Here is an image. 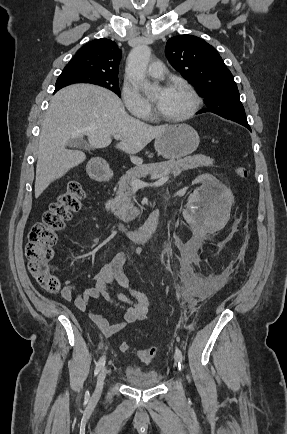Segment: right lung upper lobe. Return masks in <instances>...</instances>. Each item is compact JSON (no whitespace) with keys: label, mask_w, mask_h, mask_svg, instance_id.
Listing matches in <instances>:
<instances>
[{"label":"right lung upper lobe","mask_w":287,"mask_h":434,"mask_svg":"<svg viewBox=\"0 0 287 434\" xmlns=\"http://www.w3.org/2000/svg\"><path fill=\"white\" fill-rule=\"evenodd\" d=\"M121 50L109 39L93 40L81 47L64 69L78 70L94 76L117 77ZM62 87H56L55 92Z\"/></svg>","instance_id":"1"}]
</instances>
